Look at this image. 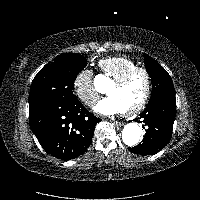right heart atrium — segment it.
<instances>
[{
    "label": "right heart atrium",
    "instance_id": "obj_1",
    "mask_svg": "<svg viewBox=\"0 0 200 200\" xmlns=\"http://www.w3.org/2000/svg\"><path fill=\"white\" fill-rule=\"evenodd\" d=\"M73 89L77 97L86 106H93L99 97L90 69H82L76 73L73 79Z\"/></svg>",
    "mask_w": 200,
    "mask_h": 200
}]
</instances>
